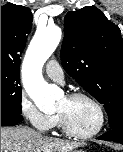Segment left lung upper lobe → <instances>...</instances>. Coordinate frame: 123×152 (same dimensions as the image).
Listing matches in <instances>:
<instances>
[{
  "instance_id": "left-lung-upper-lobe-1",
  "label": "left lung upper lobe",
  "mask_w": 123,
  "mask_h": 152,
  "mask_svg": "<svg viewBox=\"0 0 123 152\" xmlns=\"http://www.w3.org/2000/svg\"><path fill=\"white\" fill-rule=\"evenodd\" d=\"M62 65L105 106L110 127L123 121V39L121 31L96 7L65 16Z\"/></svg>"
}]
</instances>
